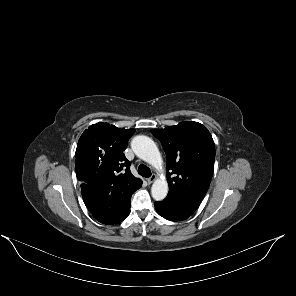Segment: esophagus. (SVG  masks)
<instances>
[{
  "label": "esophagus",
  "mask_w": 296,
  "mask_h": 296,
  "mask_svg": "<svg viewBox=\"0 0 296 296\" xmlns=\"http://www.w3.org/2000/svg\"><path fill=\"white\" fill-rule=\"evenodd\" d=\"M155 179H156V175L155 174H152L151 177H149L147 179L148 184L153 183L155 181Z\"/></svg>",
  "instance_id": "esophagus-1"
}]
</instances>
